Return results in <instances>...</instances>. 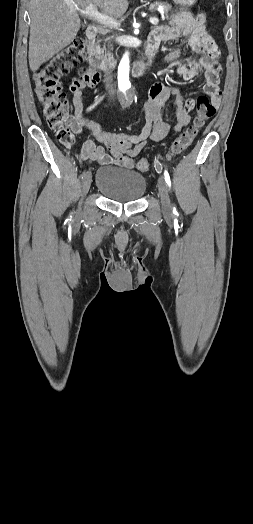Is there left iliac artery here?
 Here are the masks:
<instances>
[{
    "instance_id": "left-iliac-artery-1",
    "label": "left iliac artery",
    "mask_w": 253,
    "mask_h": 524,
    "mask_svg": "<svg viewBox=\"0 0 253 524\" xmlns=\"http://www.w3.org/2000/svg\"><path fill=\"white\" fill-rule=\"evenodd\" d=\"M164 177H165V181H166V183H167L168 186L170 187V186H171L170 176H169V174H168V172H167L166 170L164 171ZM173 213H174V214H177V211H176L175 208L173 209Z\"/></svg>"
}]
</instances>
